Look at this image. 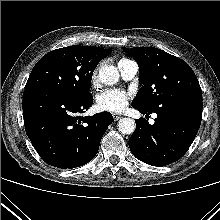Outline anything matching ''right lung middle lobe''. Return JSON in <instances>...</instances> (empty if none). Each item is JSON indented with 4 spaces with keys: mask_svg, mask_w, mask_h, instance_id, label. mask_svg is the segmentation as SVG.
I'll use <instances>...</instances> for the list:
<instances>
[{
    "mask_svg": "<svg viewBox=\"0 0 220 220\" xmlns=\"http://www.w3.org/2000/svg\"><path fill=\"white\" fill-rule=\"evenodd\" d=\"M99 62L77 45L53 50L36 63L25 90L43 88L75 98L87 97L91 94L92 74Z\"/></svg>",
    "mask_w": 220,
    "mask_h": 220,
    "instance_id": "obj_1",
    "label": "right lung middle lobe"
}]
</instances>
